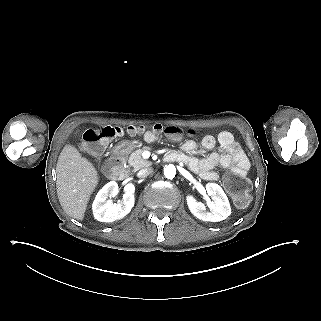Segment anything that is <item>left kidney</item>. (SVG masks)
<instances>
[{"label": "left kidney", "instance_id": "5707ae66", "mask_svg": "<svg viewBox=\"0 0 321 321\" xmlns=\"http://www.w3.org/2000/svg\"><path fill=\"white\" fill-rule=\"evenodd\" d=\"M206 191L212 201L209 205L210 212L206 211L204 204L197 201L193 195H186V202L190 212L199 220L220 222L231 214V207L223 189L215 183L206 185Z\"/></svg>", "mask_w": 321, "mask_h": 321}]
</instances>
